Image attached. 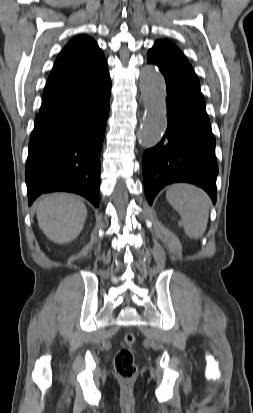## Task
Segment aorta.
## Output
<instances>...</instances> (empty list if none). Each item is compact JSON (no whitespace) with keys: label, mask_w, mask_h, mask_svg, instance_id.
<instances>
[{"label":"aorta","mask_w":253,"mask_h":413,"mask_svg":"<svg viewBox=\"0 0 253 413\" xmlns=\"http://www.w3.org/2000/svg\"><path fill=\"white\" fill-rule=\"evenodd\" d=\"M140 89L145 113L137 136L142 146L153 147L160 142L167 127L164 77L153 67L145 66L140 74Z\"/></svg>","instance_id":"1"}]
</instances>
